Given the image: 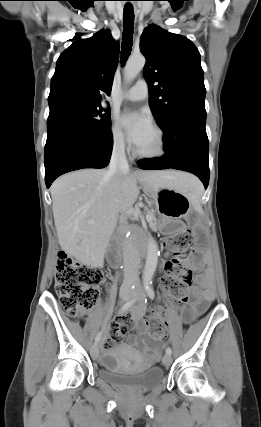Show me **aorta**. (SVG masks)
<instances>
[{"mask_svg":"<svg viewBox=\"0 0 261 427\" xmlns=\"http://www.w3.org/2000/svg\"><path fill=\"white\" fill-rule=\"evenodd\" d=\"M146 63V59L143 55H132L124 68V77L127 82L132 81L144 68ZM158 262V246L154 239L150 238L148 240L147 245V256H146V264L143 272V280L145 282H149L155 269L157 267Z\"/></svg>","mask_w":261,"mask_h":427,"instance_id":"obj_1","label":"aorta"}]
</instances>
